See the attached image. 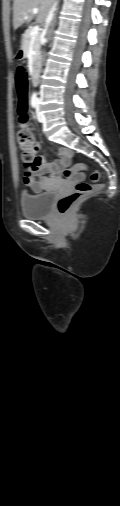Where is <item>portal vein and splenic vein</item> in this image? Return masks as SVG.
I'll return each mask as SVG.
<instances>
[{"label":"portal vein and splenic vein","mask_w":120,"mask_h":506,"mask_svg":"<svg viewBox=\"0 0 120 506\" xmlns=\"http://www.w3.org/2000/svg\"><path fill=\"white\" fill-rule=\"evenodd\" d=\"M32 12H33L34 14H37V13H38V8H33V9H32ZM39 30H40V28H39V26H38V25L34 26V27L31 29L30 35H31V36H36V35L38 34Z\"/></svg>","instance_id":"18ae733b"}]
</instances>
